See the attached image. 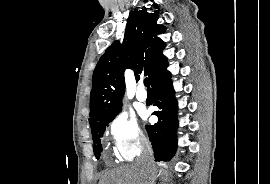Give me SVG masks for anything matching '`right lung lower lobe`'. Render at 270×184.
<instances>
[{"label": "right lung lower lobe", "instance_id": "obj_1", "mask_svg": "<svg viewBox=\"0 0 270 184\" xmlns=\"http://www.w3.org/2000/svg\"><path fill=\"white\" fill-rule=\"evenodd\" d=\"M158 111L153 112L158 122L153 126L146 125L150 142L153 146L155 161H169L177 148L176 130L177 102L174 98L171 74L166 69L151 84Z\"/></svg>", "mask_w": 270, "mask_h": 184}]
</instances>
